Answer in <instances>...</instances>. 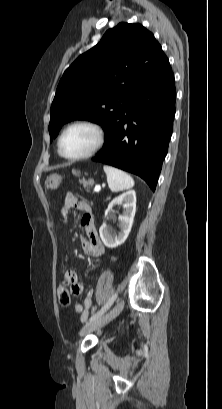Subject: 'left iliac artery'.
Here are the masks:
<instances>
[{
  "instance_id": "1",
  "label": "left iliac artery",
  "mask_w": 222,
  "mask_h": 409,
  "mask_svg": "<svg viewBox=\"0 0 222 409\" xmlns=\"http://www.w3.org/2000/svg\"><path fill=\"white\" fill-rule=\"evenodd\" d=\"M116 298H117V294L115 293L97 313L91 316L89 321L92 322L96 320L97 318L101 317L111 307V305L114 303Z\"/></svg>"
}]
</instances>
